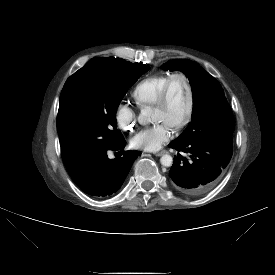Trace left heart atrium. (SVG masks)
Masks as SVG:
<instances>
[{"mask_svg": "<svg viewBox=\"0 0 275 275\" xmlns=\"http://www.w3.org/2000/svg\"><path fill=\"white\" fill-rule=\"evenodd\" d=\"M172 128L165 122H159L137 132L132 137L131 143L135 148L157 151L170 140Z\"/></svg>", "mask_w": 275, "mask_h": 275, "instance_id": "obj_1", "label": "left heart atrium"}]
</instances>
